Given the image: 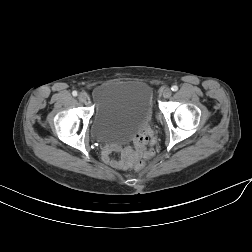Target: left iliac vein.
I'll list each match as a JSON object with an SVG mask.
<instances>
[{
  "label": "left iliac vein",
  "instance_id": "left-iliac-vein-1",
  "mask_svg": "<svg viewBox=\"0 0 252 252\" xmlns=\"http://www.w3.org/2000/svg\"><path fill=\"white\" fill-rule=\"evenodd\" d=\"M171 95H172V91H171L170 88H166V89H164L163 92H162V96H163L164 98H169Z\"/></svg>",
  "mask_w": 252,
  "mask_h": 252
}]
</instances>
